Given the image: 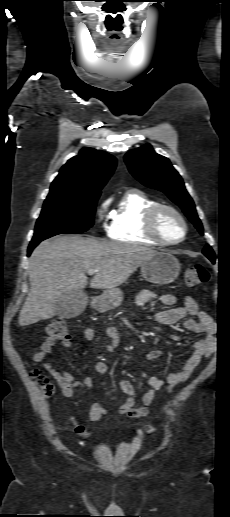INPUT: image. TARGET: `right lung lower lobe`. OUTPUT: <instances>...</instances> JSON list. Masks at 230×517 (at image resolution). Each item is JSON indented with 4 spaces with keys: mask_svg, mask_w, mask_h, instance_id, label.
Segmentation results:
<instances>
[{
    "mask_svg": "<svg viewBox=\"0 0 230 517\" xmlns=\"http://www.w3.org/2000/svg\"><path fill=\"white\" fill-rule=\"evenodd\" d=\"M41 242V241H40ZM40 242H31L28 248V256L31 254L32 250L40 243Z\"/></svg>",
    "mask_w": 230,
    "mask_h": 517,
    "instance_id": "98d812e1",
    "label": "right lung lower lobe"
}]
</instances>
